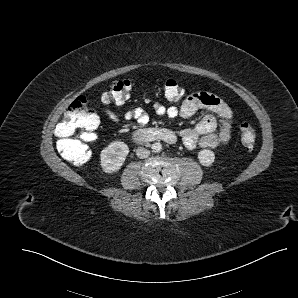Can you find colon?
<instances>
[{
    "instance_id": "5ec220e1",
    "label": "colon",
    "mask_w": 298,
    "mask_h": 298,
    "mask_svg": "<svg viewBox=\"0 0 298 298\" xmlns=\"http://www.w3.org/2000/svg\"><path fill=\"white\" fill-rule=\"evenodd\" d=\"M132 87V79L115 81L102 95V100L107 103L122 104L128 100ZM163 94L167 100L176 102L183 97L184 89L177 80L167 78L163 82ZM98 126L99 118L88 108L86 99L77 97L68 106L62 120L55 128L59 149L71 157L74 163L87 162L91 154L85 142L96 139ZM239 129L242 144L247 148L253 147L256 141L254 127L248 122H243Z\"/></svg>"
}]
</instances>
